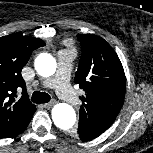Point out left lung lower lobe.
<instances>
[{"mask_svg":"<svg viewBox=\"0 0 153 153\" xmlns=\"http://www.w3.org/2000/svg\"><path fill=\"white\" fill-rule=\"evenodd\" d=\"M79 140H82V141H88V140H86V139H83V138H80V137H79Z\"/></svg>","mask_w":153,"mask_h":153,"instance_id":"left-lung-lower-lobe-1","label":"left lung lower lobe"}]
</instances>
